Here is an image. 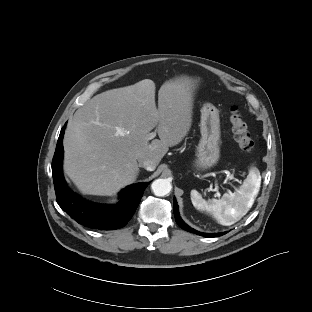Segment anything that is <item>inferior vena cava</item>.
Segmentation results:
<instances>
[{
  "label": "inferior vena cava",
  "mask_w": 312,
  "mask_h": 312,
  "mask_svg": "<svg viewBox=\"0 0 312 312\" xmlns=\"http://www.w3.org/2000/svg\"><path fill=\"white\" fill-rule=\"evenodd\" d=\"M139 166L145 168L148 171L155 170L157 164L153 159H138Z\"/></svg>",
  "instance_id": "obj_1"
}]
</instances>
